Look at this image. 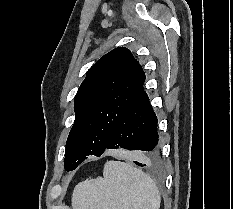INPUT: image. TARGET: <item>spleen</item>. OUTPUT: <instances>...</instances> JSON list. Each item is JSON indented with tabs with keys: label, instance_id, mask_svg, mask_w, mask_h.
Here are the masks:
<instances>
[{
	"label": "spleen",
	"instance_id": "3e777b00",
	"mask_svg": "<svg viewBox=\"0 0 233 209\" xmlns=\"http://www.w3.org/2000/svg\"><path fill=\"white\" fill-rule=\"evenodd\" d=\"M155 182L129 163L108 161L103 177L84 180L72 194L73 209H159Z\"/></svg>",
	"mask_w": 233,
	"mask_h": 209
}]
</instances>
